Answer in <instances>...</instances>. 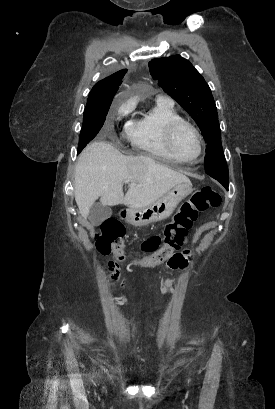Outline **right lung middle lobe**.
Returning a JSON list of instances; mask_svg holds the SVG:
<instances>
[{
  "label": "right lung middle lobe",
  "mask_w": 275,
  "mask_h": 409,
  "mask_svg": "<svg viewBox=\"0 0 275 409\" xmlns=\"http://www.w3.org/2000/svg\"><path fill=\"white\" fill-rule=\"evenodd\" d=\"M104 70L106 73H116L118 67L116 64H106ZM109 108L110 104L100 107L86 106L79 137L78 153L98 134L105 122Z\"/></svg>",
  "instance_id": "right-lung-middle-lobe-1"
}]
</instances>
